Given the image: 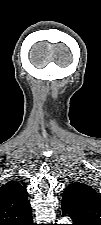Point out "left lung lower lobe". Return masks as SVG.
<instances>
[{
  "label": "left lung lower lobe",
  "instance_id": "left-lung-lower-lobe-1",
  "mask_svg": "<svg viewBox=\"0 0 101 225\" xmlns=\"http://www.w3.org/2000/svg\"><path fill=\"white\" fill-rule=\"evenodd\" d=\"M64 216H66V215H64ZM70 218L73 221L72 225H100L99 223H97L95 221H91V220H88L85 218H75V217H70Z\"/></svg>",
  "mask_w": 101,
  "mask_h": 225
}]
</instances>
